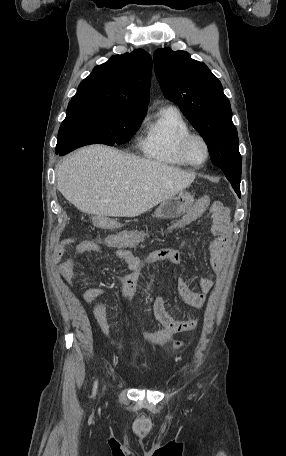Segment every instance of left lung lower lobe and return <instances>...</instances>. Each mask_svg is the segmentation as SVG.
<instances>
[{"instance_id":"1","label":"left lung lower lobe","mask_w":286,"mask_h":456,"mask_svg":"<svg viewBox=\"0 0 286 456\" xmlns=\"http://www.w3.org/2000/svg\"><path fill=\"white\" fill-rule=\"evenodd\" d=\"M231 184H232V187L233 189L235 190V192L238 194V196L240 197V182H236V181H230Z\"/></svg>"}]
</instances>
